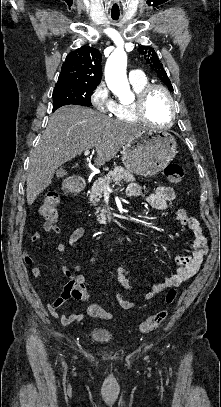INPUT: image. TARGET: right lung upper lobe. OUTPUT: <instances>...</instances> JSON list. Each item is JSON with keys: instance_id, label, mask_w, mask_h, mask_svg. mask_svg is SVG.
Returning a JSON list of instances; mask_svg holds the SVG:
<instances>
[{"instance_id": "cb5924a9", "label": "right lung upper lobe", "mask_w": 221, "mask_h": 407, "mask_svg": "<svg viewBox=\"0 0 221 407\" xmlns=\"http://www.w3.org/2000/svg\"><path fill=\"white\" fill-rule=\"evenodd\" d=\"M102 55L92 47L82 46L70 52L62 65L55 87L66 85L98 86L102 77Z\"/></svg>"}]
</instances>
